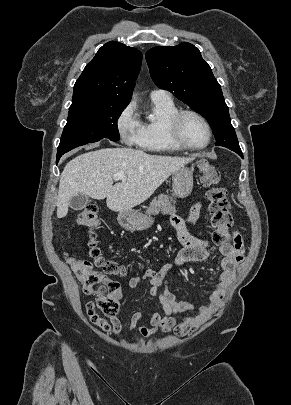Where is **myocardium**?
I'll return each mask as SVG.
<instances>
[{
	"label": "myocardium",
	"mask_w": 291,
	"mask_h": 405,
	"mask_svg": "<svg viewBox=\"0 0 291 405\" xmlns=\"http://www.w3.org/2000/svg\"><path fill=\"white\" fill-rule=\"evenodd\" d=\"M186 116H193L197 118L205 126L208 135L205 144L201 146H192L183 139L181 133V125L184 117ZM168 131L170 138L177 146L181 147L182 149L190 151H200L207 148L211 143L213 135L212 128L207 119L201 113L192 109L178 110L169 120Z\"/></svg>",
	"instance_id": "f54148a6"
}]
</instances>
